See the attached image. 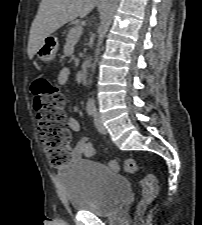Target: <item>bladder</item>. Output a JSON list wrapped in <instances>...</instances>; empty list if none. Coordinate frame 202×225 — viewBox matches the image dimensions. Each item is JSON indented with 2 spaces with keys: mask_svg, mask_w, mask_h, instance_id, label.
Returning a JSON list of instances; mask_svg holds the SVG:
<instances>
[{
  "mask_svg": "<svg viewBox=\"0 0 202 225\" xmlns=\"http://www.w3.org/2000/svg\"><path fill=\"white\" fill-rule=\"evenodd\" d=\"M62 186L73 211L97 216L118 212L132 188L124 175L90 159L75 162L63 175Z\"/></svg>",
  "mask_w": 202,
  "mask_h": 225,
  "instance_id": "1",
  "label": "bladder"
}]
</instances>
